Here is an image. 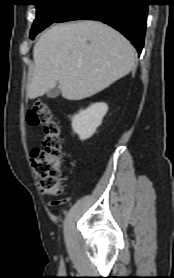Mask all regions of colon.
Returning <instances> with one entry per match:
<instances>
[{"mask_svg": "<svg viewBox=\"0 0 174 278\" xmlns=\"http://www.w3.org/2000/svg\"><path fill=\"white\" fill-rule=\"evenodd\" d=\"M26 120L32 126L43 127L45 132L41 147L31 153V166L38 179V188L44 195L58 196L63 190L61 183L63 142L60 126L54 120L49 106L40 100L29 107Z\"/></svg>", "mask_w": 174, "mask_h": 278, "instance_id": "5ec220e1", "label": "colon"}]
</instances>
